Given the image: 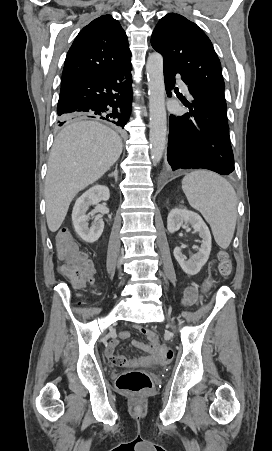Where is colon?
I'll use <instances>...</instances> for the list:
<instances>
[{
	"instance_id": "1",
	"label": "colon",
	"mask_w": 272,
	"mask_h": 451,
	"mask_svg": "<svg viewBox=\"0 0 272 451\" xmlns=\"http://www.w3.org/2000/svg\"><path fill=\"white\" fill-rule=\"evenodd\" d=\"M59 249L60 260L66 262H59V271H65L69 282L73 283L74 287L82 288L85 285L86 278L91 277V264L85 262L87 253L81 251L78 247V241L73 240V236L69 235L67 230H61L56 238ZM219 265L218 269L222 275H230L232 272V263L224 252L218 255ZM64 274V273H63ZM82 293V292H81ZM77 303H88V294H77ZM148 351H154L155 354H161L162 362H167L173 358V351L168 350L166 345H156L155 342H148L146 345ZM112 367H127V358L115 355L110 357ZM152 386L149 375L141 370H129L122 373L116 380V387L118 390L129 393H140L149 390Z\"/></svg>"
}]
</instances>
